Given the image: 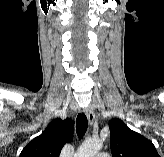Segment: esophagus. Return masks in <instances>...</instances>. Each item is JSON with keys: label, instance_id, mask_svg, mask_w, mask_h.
Masks as SVG:
<instances>
[{"label": "esophagus", "instance_id": "esophagus-1", "mask_svg": "<svg viewBox=\"0 0 164 157\" xmlns=\"http://www.w3.org/2000/svg\"><path fill=\"white\" fill-rule=\"evenodd\" d=\"M86 115H87L89 123L92 125L94 122V119H95V115H94V111L91 107H87Z\"/></svg>", "mask_w": 164, "mask_h": 157}]
</instances>
